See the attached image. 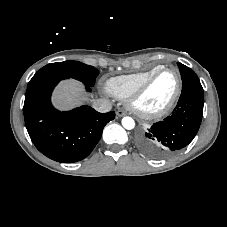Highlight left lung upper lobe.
Segmentation results:
<instances>
[{
	"instance_id": "obj_1",
	"label": "left lung upper lobe",
	"mask_w": 227,
	"mask_h": 227,
	"mask_svg": "<svg viewBox=\"0 0 227 227\" xmlns=\"http://www.w3.org/2000/svg\"><path fill=\"white\" fill-rule=\"evenodd\" d=\"M177 65L179 67L182 78V91L192 89L203 92L201 83L194 71L179 62L177 63Z\"/></svg>"
}]
</instances>
